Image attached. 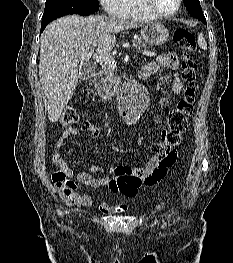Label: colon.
<instances>
[{
	"label": "colon",
	"instance_id": "1",
	"mask_svg": "<svg viewBox=\"0 0 233 263\" xmlns=\"http://www.w3.org/2000/svg\"><path fill=\"white\" fill-rule=\"evenodd\" d=\"M173 40L182 52V77L186 82L184 97L178 102L177 106L169 112L167 127L163 131L160 142L154 144L153 151L160 162L151 173L145 176V181L148 184H156L166 176L170 168L175 162V148L180 145L182 137L187 129L189 118L194 112V103L196 100L197 91V63L194 58L196 51V42L194 35L187 29H177L174 32ZM81 121V115L74 107H68L62 114L60 123L63 127H71ZM89 127V124H87ZM93 134H96V129L90 127ZM124 173H138L131 169H123ZM54 183H65L69 188H75L72 180H68L63 171L55 172L52 176Z\"/></svg>",
	"mask_w": 233,
	"mask_h": 263
}]
</instances>
